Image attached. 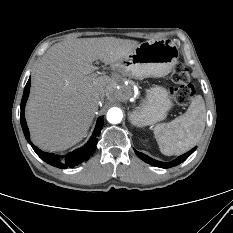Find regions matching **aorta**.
Returning <instances> with one entry per match:
<instances>
[{"instance_id":"obj_1","label":"aorta","mask_w":233,"mask_h":233,"mask_svg":"<svg viewBox=\"0 0 233 233\" xmlns=\"http://www.w3.org/2000/svg\"><path fill=\"white\" fill-rule=\"evenodd\" d=\"M123 118L122 111L119 108L113 107L107 112V120L109 123L118 124Z\"/></svg>"}]
</instances>
